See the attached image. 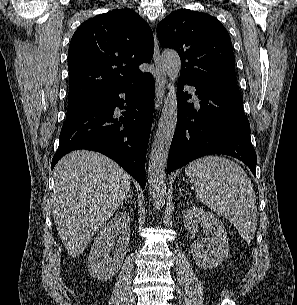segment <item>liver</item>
<instances>
[{"label":"liver","mask_w":297,"mask_h":305,"mask_svg":"<svg viewBox=\"0 0 297 305\" xmlns=\"http://www.w3.org/2000/svg\"><path fill=\"white\" fill-rule=\"evenodd\" d=\"M52 214L58 236L71 257L79 256L130 190V176L97 152L77 150L54 168Z\"/></svg>","instance_id":"6515ba94"}]
</instances>
